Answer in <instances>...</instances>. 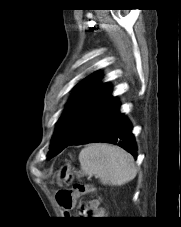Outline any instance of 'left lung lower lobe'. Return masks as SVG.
I'll use <instances>...</instances> for the list:
<instances>
[{
	"instance_id": "1",
	"label": "left lung lower lobe",
	"mask_w": 181,
	"mask_h": 227,
	"mask_svg": "<svg viewBox=\"0 0 181 227\" xmlns=\"http://www.w3.org/2000/svg\"><path fill=\"white\" fill-rule=\"evenodd\" d=\"M106 142L119 145L135 158L137 146L130 122L119 111L118 101L109 97L90 117L80 134L69 145ZM68 145V146H69Z\"/></svg>"
}]
</instances>
